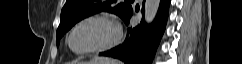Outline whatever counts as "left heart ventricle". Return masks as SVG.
Listing matches in <instances>:
<instances>
[{
    "label": "left heart ventricle",
    "instance_id": "obj_1",
    "mask_svg": "<svg viewBox=\"0 0 242 64\" xmlns=\"http://www.w3.org/2000/svg\"><path fill=\"white\" fill-rule=\"evenodd\" d=\"M113 35V28L100 21L89 22L81 26L73 35L72 46L75 50H84L100 45Z\"/></svg>",
    "mask_w": 242,
    "mask_h": 64
}]
</instances>
